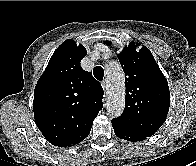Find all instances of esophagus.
<instances>
[{"instance_id": "obj_1", "label": "esophagus", "mask_w": 196, "mask_h": 166, "mask_svg": "<svg viewBox=\"0 0 196 166\" xmlns=\"http://www.w3.org/2000/svg\"><path fill=\"white\" fill-rule=\"evenodd\" d=\"M101 85H102V88H103L104 91H105V90H106V87H107V82H106V80L102 81Z\"/></svg>"}]
</instances>
